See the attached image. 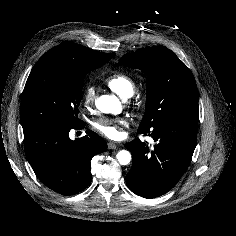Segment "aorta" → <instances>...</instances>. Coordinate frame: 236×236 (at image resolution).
Returning a JSON list of instances; mask_svg holds the SVG:
<instances>
[{
  "instance_id": "aorta-1",
  "label": "aorta",
  "mask_w": 236,
  "mask_h": 236,
  "mask_svg": "<svg viewBox=\"0 0 236 236\" xmlns=\"http://www.w3.org/2000/svg\"><path fill=\"white\" fill-rule=\"evenodd\" d=\"M97 108L103 113L119 114L122 105L115 95H102L96 101ZM118 162L121 165H128L131 160V154L127 150H121L117 153Z\"/></svg>"
}]
</instances>
